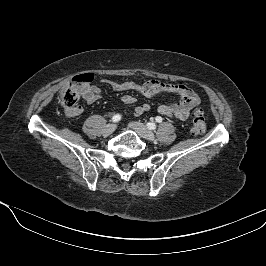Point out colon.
I'll return each mask as SVG.
<instances>
[{"mask_svg":"<svg viewBox=\"0 0 266 266\" xmlns=\"http://www.w3.org/2000/svg\"><path fill=\"white\" fill-rule=\"evenodd\" d=\"M93 80V75L83 74L72 79V81L60 92L59 99L67 112L72 111L80 99L81 89ZM206 130V121L201 109H196L192 119L191 133L201 135Z\"/></svg>","mask_w":266,"mask_h":266,"instance_id":"colon-1","label":"colon"}]
</instances>
